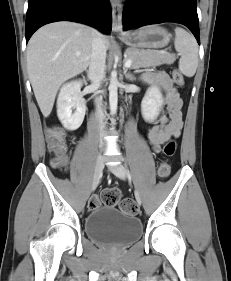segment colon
Returning <instances> with one entry per match:
<instances>
[{"label": "colon", "mask_w": 231, "mask_h": 281, "mask_svg": "<svg viewBox=\"0 0 231 281\" xmlns=\"http://www.w3.org/2000/svg\"><path fill=\"white\" fill-rule=\"evenodd\" d=\"M173 81L179 85H184V78L180 71L174 70L172 73ZM46 139L49 150L53 154L52 164L55 167H63L67 163V144L64 130L59 126H53L47 129ZM175 151V143L170 141L165 144L163 153L166 156L173 155ZM170 164L162 161L158 166V174L162 178H166L170 174ZM119 206L120 209L130 215H136L139 210L135 202L130 199H122L121 192L117 189H108L103 192L101 197H93L89 201V208L95 209L101 205Z\"/></svg>", "instance_id": "colon-1"}]
</instances>
